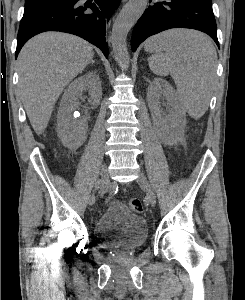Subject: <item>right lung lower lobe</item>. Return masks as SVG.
I'll return each mask as SVG.
<instances>
[{
    "label": "right lung lower lobe",
    "mask_w": 245,
    "mask_h": 300,
    "mask_svg": "<svg viewBox=\"0 0 245 300\" xmlns=\"http://www.w3.org/2000/svg\"><path fill=\"white\" fill-rule=\"evenodd\" d=\"M121 0H62L27 12L20 22L16 56L31 37L45 31H60L82 37L108 58L106 23Z\"/></svg>",
    "instance_id": "1"
}]
</instances>
